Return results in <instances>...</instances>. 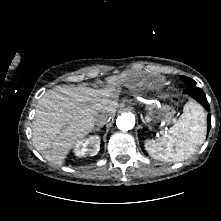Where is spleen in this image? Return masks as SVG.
Returning <instances> with one entry per match:
<instances>
[{
    "label": "spleen",
    "instance_id": "3e777b00",
    "mask_svg": "<svg viewBox=\"0 0 221 221\" xmlns=\"http://www.w3.org/2000/svg\"><path fill=\"white\" fill-rule=\"evenodd\" d=\"M206 114L195 101L185 104L183 114L158 140H147L148 154L164 162H180L188 159L201 146L206 134Z\"/></svg>",
    "mask_w": 221,
    "mask_h": 221
}]
</instances>
